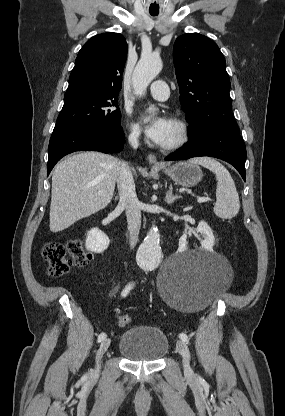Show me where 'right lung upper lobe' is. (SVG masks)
<instances>
[{"mask_svg":"<svg viewBox=\"0 0 285 416\" xmlns=\"http://www.w3.org/2000/svg\"><path fill=\"white\" fill-rule=\"evenodd\" d=\"M126 56L123 35L109 32L92 37L78 53L65 95L118 96Z\"/></svg>","mask_w":285,"mask_h":416,"instance_id":"1","label":"right lung upper lobe"}]
</instances>
